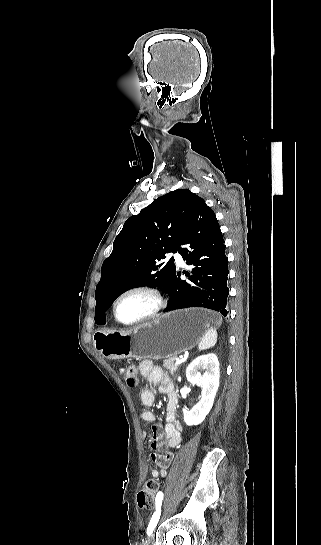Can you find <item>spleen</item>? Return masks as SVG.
Wrapping results in <instances>:
<instances>
[{
    "mask_svg": "<svg viewBox=\"0 0 321 545\" xmlns=\"http://www.w3.org/2000/svg\"><path fill=\"white\" fill-rule=\"evenodd\" d=\"M217 331L215 327H211L209 331H206L205 335L202 337V341H200L198 345L199 351H205V349H211V347H214L217 343Z\"/></svg>",
    "mask_w": 321,
    "mask_h": 545,
    "instance_id": "3e777b00",
    "label": "spleen"
}]
</instances>
